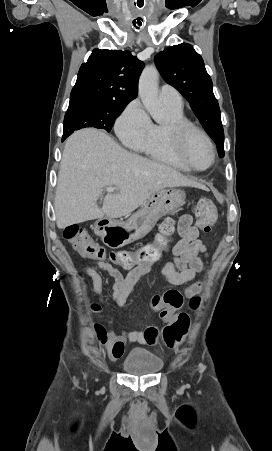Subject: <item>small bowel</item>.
<instances>
[{
    "label": "small bowel",
    "instance_id": "1",
    "mask_svg": "<svg viewBox=\"0 0 272 451\" xmlns=\"http://www.w3.org/2000/svg\"><path fill=\"white\" fill-rule=\"evenodd\" d=\"M192 222V217L189 214H184L180 218L176 228L180 239L173 245L163 261L158 264L165 273L167 279L173 284H182L186 281L196 280L197 276L205 267L203 259L208 257L207 248L199 239V229L194 226ZM166 226L163 231L168 233L172 230V227L170 225L171 229L165 230ZM90 264L96 265L113 279L112 297L114 304L117 307H121L124 304L139 277L144 272L157 265V263L144 265L133 270L127 277H124L123 274L108 261L91 259ZM176 269L178 271H176ZM83 271L91 278L94 294L97 298V301L90 305V309L95 313H100L103 308L102 277L100 273L89 265H85ZM200 287L201 283L195 281L185 290V294L190 295L199 290ZM182 304V295L174 290L167 292L163 297L156 295L151 301L152 307L162 309L161 316L169 320L173 318L174 311L179 309ZM112 341L113 343L108 346L107 352L109 358L112 361H115L122 356L126 343H144L146 339L145 334L141 331L131 330L122 332L121 334L112 333Z\"/></svg>",
    "mask_w": 272,
    "mask_h": 451
}]
</instances>
